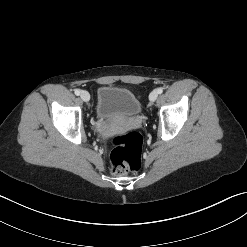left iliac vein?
<instances>
[{"mask_svg": "<svg viewBox=\"0 0 247 247\" xmlns=\"http://www.w3.org/2000/svg\"><path fill=\"white\" fill-rule=\"evenodd\" d=\"M157 97H158V93H157L156 90H154V91H152V92L150 93V95H149V100H150L151 102H154V101H156Z\"/></svg>", "mask_w": 247, "mask_h": 247, "instance_id": "obj_1", "label": "left iliac vein"}]
</instances>
